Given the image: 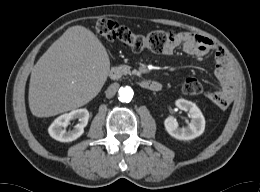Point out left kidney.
Returning a JSON list of instances; mask_svg holds the SVG:
<instances>
[{"label":"left kidney","mask_w":260,"mask_h":192,"mask_svg":"<svg viewBox=\"0 0 260 192\" xmlns=\"http://www.w3.org/2000/svg\"><path fill=\"white\" fill-rule=\"evenodd\" d=\"M175 104L179 109L189 112L191 122L187 127H179L174 117H167L164 126L168 134L178 140H191L200 136L205 130V118L201 110L196 104L185 99H178Z\"/></svg>","instance_id":"1"}]
</instances>
